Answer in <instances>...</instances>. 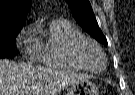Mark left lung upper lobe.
<instances>
[{"label": "left lung upper lobe", "mask_w": 135, "mask_h": 95, "mask_svg": "<svg viewBox=\"0 0 135 95\" xmlns=\"http://www.w3.org/2000/svg\"><path fill=\"white\" fill-rule=\"evenodd\" d=\"M76 22L92 37L107 44L106 37L98 26L89 0H66Z\"/></svg>", "instance_id": "obj_1"}]
</instances>
